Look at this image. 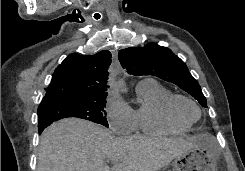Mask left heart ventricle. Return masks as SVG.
Segmentation results:
<instances>
[{
  "label": "left heart ventricle",
  "mask_w": 245,
  "mask_h": 171,
  "mask_svg": "<svg viewBox=\"0 0 245 171\" xmlns=\"http://www.w3.org/2000/svg\"><path fill=\"white\" fill-rule=\"evenodd\" d=\"M177 110L179 114L188 121H194L198 117L196 108L186 101H180Z\"/></svg>",
  "instance_id": "obj_1"
}]
</instances>
